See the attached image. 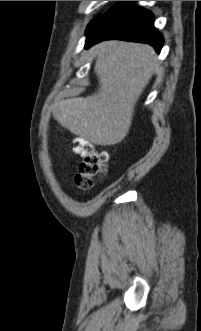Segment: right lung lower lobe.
<instances>
[{
    "label": "right lung lower lobe",
    "instance_id": "98d812e1",
    "mask_svg": "<svg viewBox=\"0 0 201 331\" xmlns=\"http://www.w3.org/2000/svg\"><path fill=\"white\" fill-rule=\"evenodd\" d=\"M86 36V49L108 39L148 43L158 53L163 46V36L154 27L152 13L134 6L132 1L115 4L87 31Z\"/></svg>",
    "mask_w": 201,
    "mask_h": 331
}]
</instances>
